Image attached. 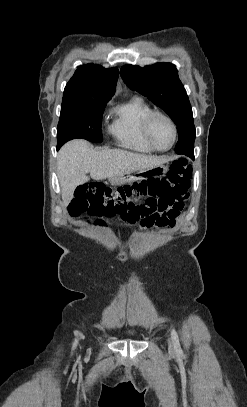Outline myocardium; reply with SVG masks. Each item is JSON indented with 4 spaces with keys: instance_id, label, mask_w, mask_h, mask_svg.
Listing matches in <instances>:
<instances>
[{
    "instance_id": "1",
    "label": "myocardium",
    "mask_w": 247,
    "mask_h": 407,
    "mask_svg": "<svg viewBox=\"0 0 247 407\" xmlns=\"http://www.w3.org/2000/svg\"><path fill=\"white\" fill-rule=\"evenodd\" d=\"M156 117H162V118L166 119L170 123V125L173 129V140H172L170 146L165 149H161V148L157 147L151 138L150 127H151V123H152L153 119ZM142 132H143L144 139L148 143V145L154 151H158V152H165V151L170 150L173 147V145L175 144L177 137H178V129H177V125H176L175 121L168 114L161 112V111H151L144 118L143 123H142Z\"/></svg>"
}]
</instances>
